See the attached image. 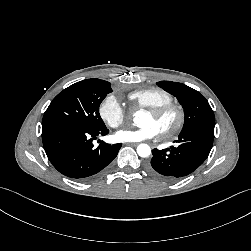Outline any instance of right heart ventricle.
Masks as SVG:
<instances>
[{"instance_id": "right-heart-ventricle-1", "label": "right heart ventricle", "mask_w": 251, "mask_h": 251, "mask_svg": "<svg viewBox=\"0 0 251 251\" xmlns=\"http://www.w3.org/2000/svg\"><path fill=\"white\" fill-rule=\"evenodd\" d=\"M133 106L152 108L172 102V95L161 88H147L136 90L128 94Z\"/></svg>"}]
</instances>
